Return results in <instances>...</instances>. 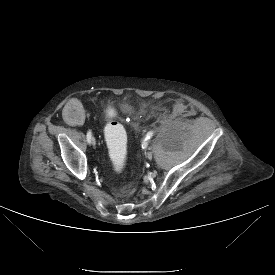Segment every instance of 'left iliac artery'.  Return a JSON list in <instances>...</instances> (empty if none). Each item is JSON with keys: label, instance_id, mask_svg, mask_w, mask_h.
<instances>
[{"label": "left iliac artery", "instance_id": "left-iliac-artery-1", "mask_svg": "<svg viewBox=\"0 0 275 275\" xmlns=\"http://www.w3.org/2000/svg\"><path fill=\"white\" fill-rule=\"evenodd\" d=\"M152 136H153V132L150 131V132L147 133L146 139H150Z\"/></svg>", "mask_w": 275, "mask_h": 275}]
</instances>
